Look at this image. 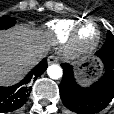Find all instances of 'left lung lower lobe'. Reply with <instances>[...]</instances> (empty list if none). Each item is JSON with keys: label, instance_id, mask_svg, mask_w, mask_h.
<instances>
[{"label": "left lung lower lobe", "instance_id": "obj_1", "mask_svg": "<svg viewBox=\"0 0 114 114\" xmlns=\"http://www.w3.org/2000/svg\"><path fill=\"white\" fill-rule=\"evenodd\" d=\"M97 56L105 67L104 76L89 88L79 86L69 64H61L63 78L59 85L63 104L79 114H94L104 109L114 97V50L101 49Z\"/></svg>", "mask_w": 114, "mask_h": 114}]
</instances>
